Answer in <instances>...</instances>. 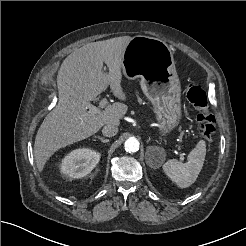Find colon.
Here are the masks:
<instances>
[{
    "label": "colon",
    "instance_id": "colon-1",
    "mask_svg": "<svg viewBox=\"0 0 246 246\" xmlns=\"http://www.w3.org/2000/svg\"><path fill=\"white\" fill-rule=\"evenodd\" d=\"M186 96L189 102L198 110L196 124L199 134L204 139H212L216 131L215 119L209 112L205 89L200 84L189 83L186 86Z\"/></svg>",
    "mask_w": 246,
    "mask_h": 246
}]
</instances>
